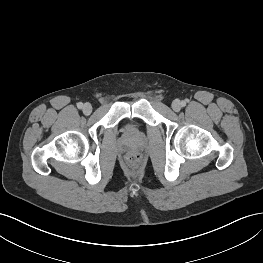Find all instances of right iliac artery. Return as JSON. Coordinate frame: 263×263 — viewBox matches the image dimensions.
Returning <instances> with one entry per match:
<instances>
[{"instance_id":"right-iliac-artery-1","label":"right iliac artery","mask_w":263,"mask_h":263,"mask_svg":"<svg viewBox=\"0 0 263 263\" xmlns=\"http://www.w3.org/2000/svg\"><path fill=\"white\" fill-rule=\"evenodd\" d=\"M77 107H78L79 109H82V108H83V103L79 102V103L77 104Z\"/></svg>"}]
</instances>
